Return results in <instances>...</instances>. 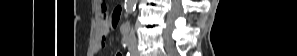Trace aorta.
Returning a JSON list of instances; mask_svg holds the SVG:
<instances>
[{
	"instance_id": "obj_1",
	"label": "aorta",
	"mask_w": 297,
	"mask_h": 56,
	"mask_svg": "<svg viewBox=\"0 0 297 56\" xmlns=\"http://www.w3.org/2000/svg\"><path fill=\"white\" fill-rule=\"evenodd\" d=\"M137 0H125V11L127 14L134 12Z\"/></svg>"
}]
</instances>
